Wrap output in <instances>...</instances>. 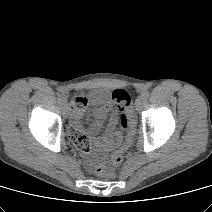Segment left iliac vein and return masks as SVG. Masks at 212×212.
<instances>
[{"mask_svg":"<svg viewBox=\"0 0 212 212\" xmlns=\"http://www.w3.org/2000/svg\"><path fill=\"white\" fill-rule=\"evenodd\" d=\"M145 99L143 96H139L135 101V109L137 112H140L144 106Z\"/></svg>","mask_w":212,"mask_h":212,"instance_id":"left-iliac-vein-1","label":"left iliac vein"}]
</instances>
